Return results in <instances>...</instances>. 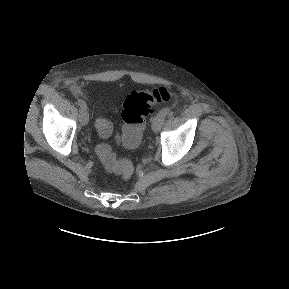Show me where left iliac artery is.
I'll return each mask as SVG.
<instances>
[{"label": "left iliac artery", "instance_id": "44dca946", "mask_svg": "<svg viewBox=\"0 0 289 289\" xmlns=\"http://www.w3.org/2000/svg\"><path fill=\"white\" fill-rule=\"evenodd\" d=\"M160 113L165 117L167 115H171L172 114V111L170 108H164L160 111Z\"/></svg>", "mask_w": 289, "mask_h": 289}]
</instances>
